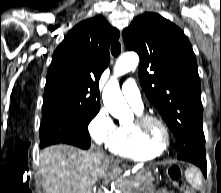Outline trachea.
<instances>
[{"label":"trachea","instance_id":"3493384b","mask_svg":"<svg viewBox=\"0 0 221 193\" xmlns=\"http://www.w3.org/2000/svg\"><path fill=\"white\" fill-rule=\"evenodd\" d=\"M121 52V45L120 43H115L114 45H112L111 47V53L114 57H117Z\"/></svg>","mask_w":221,"mask_h":193}]
</instances>
